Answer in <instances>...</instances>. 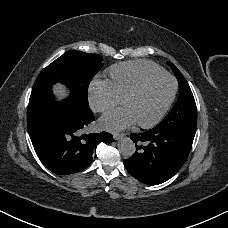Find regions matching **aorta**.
Segmentation results:
<instances>
[{
    "instance_id": "obj_1",
    "label": "aorta",
    "mask_w": 228,
    "mask_h": 228,
    "mask_svg": "<svg viewBox=\"0 0 228 228\" xmlns=\"http://www.w3.org/2000/svg\"><path fill=\"white\" fill-rule=\"evenodd\" d=\"M118 150L124 157H131L135 152V143L129 138L124 137L118 141Z\"/></svg>"
}]
</instances>
